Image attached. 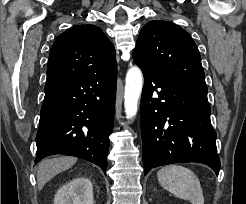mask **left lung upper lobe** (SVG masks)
<instances>
[{"label": "left lung upper lobe", "instance_id": "left-lung-upper-lobe-1", "mask_svg": "<svg viewBox=\"0 0 246 204\" xmlns=\"http://www.w3.org/2000/svg\"><path fill=\"white\" fill-rule=\"evenodd\" d=\"M133 60L147 73L205 83L196 44L184 29L171 22L147 23L137 39Z\"/></svg>", "mask_w": 246, "mask_h": 204}]
</instances>
